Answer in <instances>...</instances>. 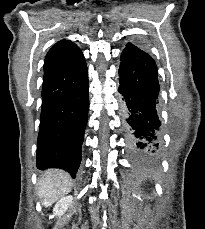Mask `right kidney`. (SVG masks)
<instances>
[{
    "mask_svg": "<svg viewBox=\"0 0 205 229\" xmlns=\"http://www.w3.org/2000/svg\"><path fill=\"white\" fill-rule=\"evenodd\" d=\"M73 201L72 196H66L61 198L54 206L53 213L56 216H62L64 212L68 209V207L71 205Z\"/></svg>",
    "mask_w": 205,
    "mask_h": 229,
    "instance_id": "ca27d5eb",
    "label": "right kidney"
}]
</instances>
